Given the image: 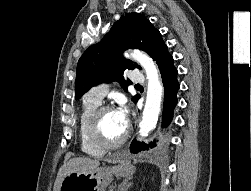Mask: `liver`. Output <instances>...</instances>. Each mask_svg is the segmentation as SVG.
<instances>
[{
    "mask_svg": "<svg viewBox=\"0 0 251 191\" xmlns=\"http://www.w3.org/2000/svg\"><path fill=\"white\" fill-rule=\"evenodd\" d=\"M98 165H100L99 159H90V157H71L68 161H64L57 173L53 191H59L63 177L67 173H87L96 169Z\"/></svg>",
    "mask_w": 251,
    "mask_h": 191,
    "instance_id": "liver-1",
    "label": "liver"
}]
</instances>
